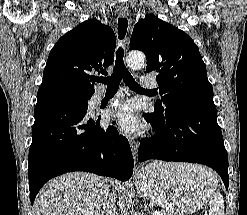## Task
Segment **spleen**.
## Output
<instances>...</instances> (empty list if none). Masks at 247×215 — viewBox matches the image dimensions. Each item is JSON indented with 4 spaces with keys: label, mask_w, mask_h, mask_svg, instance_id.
<instances>
[{
    "label": "spleen",
    "mask_w": 247,
    "mask_h": 215,
    "mask_svg": "<svg viewBox=\"0 0 247 215\" xmlns=\"http://www.w3.org/2000/svg\"><path fill=\"white\" fill-rule=\"evenodd\" d=\"M210 174H213L210 171ZM215 190V189H214ZM214 190L211 192V195L209 197L210 202V210L209 215H224V199L223 196L220 194V192H214Z\"/></svg>",
    "instance_id": "obj_1"
}]
</instances>
